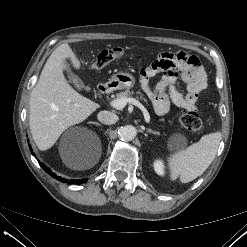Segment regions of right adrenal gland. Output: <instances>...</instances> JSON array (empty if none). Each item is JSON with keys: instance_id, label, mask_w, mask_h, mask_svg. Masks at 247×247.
<instances>
[{"instance_id": "2a0ac1e0", "label": "right adrenal gland", "mask_w": 247, "mask_h": 247, "mask_svg": "<svg viewBox=\"0 0 247 247\" xmlns=\"http://www.w3.org/2000/svg\"><path fill=\"white\" fill-rule=\"evenodd\" d=\"M90 124H94V125H97V126H101V124L98 123V122H90Z\"/></svg>"}]
</instances>
